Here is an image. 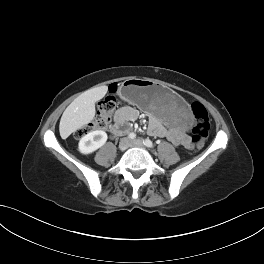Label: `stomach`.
<instances>
[{"instance_id":"obj_1","label":"stomach","mask_w":264,"mask_h":264,"mask_svg":"<svg viewBox=\"0 0 264 264\" xmlns=\"http://www.w3.org/2000/svg\"><path fill=\"white\" fill-rule=\"evenodd\" d=\"M120 96L159 118L167 127L186 132L194 126V114L186 103L171 89L152 79H126L121 84Z\"/></svg>"}]
</instances>
